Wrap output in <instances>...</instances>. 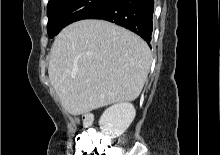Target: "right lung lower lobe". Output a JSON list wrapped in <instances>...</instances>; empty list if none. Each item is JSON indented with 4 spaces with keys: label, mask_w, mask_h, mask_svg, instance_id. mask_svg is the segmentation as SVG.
I'll return each instance as SVG.
<instances>
[{
    "label": "right lung lower lobe",
    "mask_w": 220,
    "mask_h": 155,
    "mask_svg": "<svg viewBox=\"0 0 220 155\" xmlns=\"http://www.w3.org/2000/svg\"><path fill=\"white\" fill-rule=\"evenodd\" d=\"M153 0H115L108 6L91 13L85 19H103L123 26L145 41H151L153 29Z\"/></svg>",
    "instance_id": "1"
}]
</instances>
